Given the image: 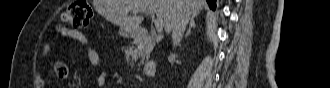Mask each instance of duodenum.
<instances>
[{"label":"duodenum","mask_w":330,"mask_h":88,"mask_svg":"<svg viewBox=\"0 0 330 88\" xmlns=\"http://www.w3.org/2000/svg\"><path fill=\"white\" fill-rule=\"evenodd\" d=\"M145 36H146L145 33L143 31L139 30V31H136L135 33H133L132 37L135 41L140 42L145 39ZM156 69H157V65L154 62H150L145 65L143 71L146 75L149 76V75H153L155 73Z\"/></svg>","instance_id":"1"}]
</instances>
